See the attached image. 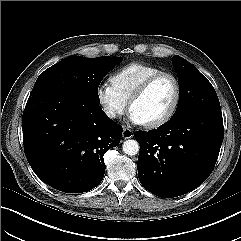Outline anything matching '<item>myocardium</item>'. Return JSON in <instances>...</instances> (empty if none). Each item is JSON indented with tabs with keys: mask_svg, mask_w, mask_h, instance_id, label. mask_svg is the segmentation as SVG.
<instances>
[{
	"mask_svg": "<svg viewBox=\"0 0 241 241\" xmlns=\"http://www.w3.org/2000/svg\"><path fill=\"white\" fill-rule=\"evenodd\" d=\"M162 77H168L173 81L174 86H175L174 100H173V103H172L171 107L169 108V110L162 117H160L159 119H157L155 121L143 124V126L148 129H155V128H159V127L163 126L164 124L169 122L175 115V113L178 109L180 100H181V85H180L179 79L170 72H164V71L158 72V73L150 76L149 78H147L133 93V95L131 96V98L129 99V102H128L129 110L131 111L134 103L137 102L141 97H143L146 94V92L150 89V87L158 79H160Z\"/></svg>",
	"mask_w": 241,
	"mask_h": 241,
	"instance_id": "myocardium-1",
	"label": "myocardium"
}]
</instances>
